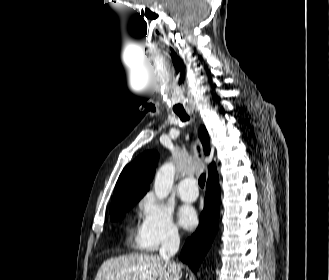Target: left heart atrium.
<instances>
[{"instance_id": "39dd6f15", "label": "left heart atrium", "mask_w": 329, "mask_h": 280, "mask_svg": "<svg viewBox=\"0 0 329 280\" xmlns=\"http://www.w3.org/2000/svg\"><path fill=\"white\" fill-rule=\"evenodd\" d=\"M178 220L182 227L192 229L197 224L196 211L189 205H183L178 210Z\"/></svg>"}]
</instances>
